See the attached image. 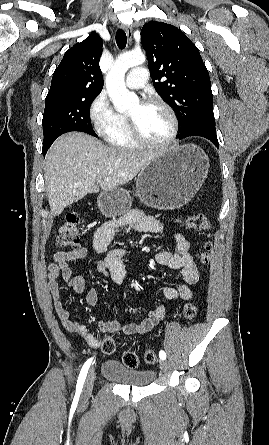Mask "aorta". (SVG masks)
Segmentation results:
<instances>
[{
    "mask_svg": "<svg viewBox=\"0 0 269 445\" xmlns=\"http://www.w3.org/2000/svg\"><path fill=\"white\" fill-rule=\"evenodd\" d=\"M142 52L132 51L120 55L106 77V87L114 108L118 112H125L139 104L137 95L128 91L125 86V73L131 67L145 62Z\"/></svg>",
    "mask_w": 269,
    "mask_h": 445,
    "instance_id": "762f6f07",
    "label": "aorta"
}]
</instances>
